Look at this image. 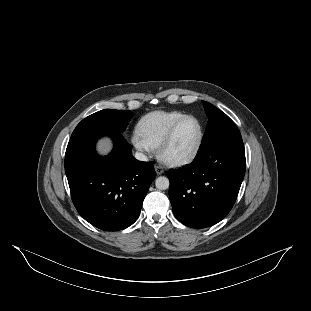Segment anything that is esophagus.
<instances>
[{
  "mask_svg": "<svg viewBox=\"0 0 311 311\" xmlns=\"http://www.w3.org/2000/svg\"><path fill=\"white\" fill-rule=\"evenodd\" d=\"M155 171L157 175H161L164 173V169L159 165H154Z\"/></svg>",
  "mask_w": 311,
  "mask_h": 311,
  "instance_id": "34e87169",
  "label": "esophagus"
}]
</instances>
